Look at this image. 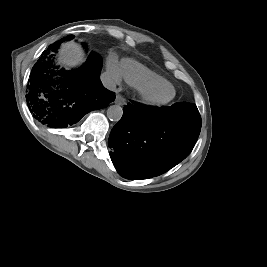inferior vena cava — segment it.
Instances as JSON below:
<instances>
[{
  "mask_svg": "<svg viewBox=\"0 0 267 267\" xmlns=\"http://www.w3.org/2000/svg\"><path fill=\"white\" fill-rule=\"evenodd\" d=\"M103 86L109 90H114L116 88L115 81L107 73H102L100 76Z\"/></svg>",
  "mask_w": 267,
  "mask_h": 267,
  "instance_id": "602c4592",
  "label": "inferior vena cava"
}]
</instances>
